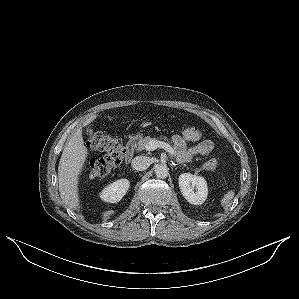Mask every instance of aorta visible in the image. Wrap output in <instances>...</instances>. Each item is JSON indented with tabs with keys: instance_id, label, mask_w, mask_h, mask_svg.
Wrapping results in <instances>:
<instances>
[{
	"instance_id": "762f6f07",
	"label": "aorta",
	"mask_w": 299,
	"mask_h": 299,
	"mask_svg": "<svg viewBox=\"0 0 299 299\" xmlns=\"http://www.w3.org/2000/svg\"><path fill=\"white\" fill-rule=\"evenodd\" d=\"M154 171H155V175L161 179L166 178L169 174V168L165 164L156 165Z\"/></svg>"
}]
</instances>
